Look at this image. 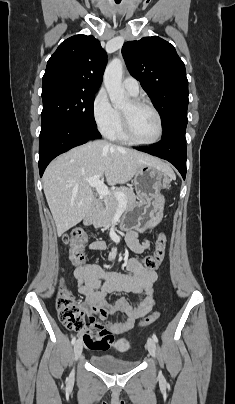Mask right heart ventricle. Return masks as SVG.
<instances>
[{"instance_id": "e07e8e85", "label": "right heart ventricle", "mask_w": 235, "mask_h": 404, "mask_svg": "<svg viewBox=\"0 0 235 404\" xmlns=\"http://www.w3.org/2000/svg\"><path fill=\"white\" fill-rule=\"evenodd\" d=\"M107 136L110 139L121 142V143L129 142L123 134L122 124H121V115L119 112H118V120H117L116 126L113 129V131L110 134H108Z\"/></svg>"}]
</instances>
